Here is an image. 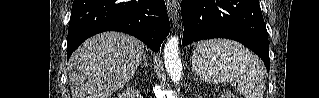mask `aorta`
<instances>
[{"mask_svg": "<svg viewBox=\"0 0 319 98\" xmlns=\"http://www.w3.org/2000/svg\"><path fill=\"white\" fill-rule=\"evenodd\" d=\"M179 40L172 36L164 48V59L166 70L174 83H178L182 77V64L178 55Z\"/></svg>", "mask_w": 319, "mask_h": 98, "instance_id": "aorta-1", "label": "aorta"}]
</instances>
